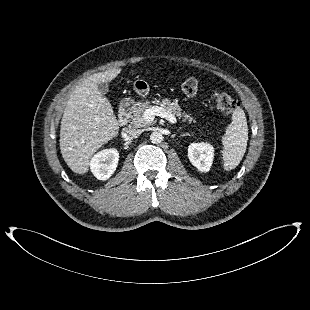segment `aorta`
Returning a JSON list of instances; mask_svg holds the SVG:
<instances>
[{
    "instance_id": "aorta-1",
    "label": "aorta",
    "mask_w": 310,
    "mask_h": 310,
    "mask_svg": "<svg viewBox=\"0 0 310 310\" xmlns=\"http://www.w3.org/2000/svg\"><path fill=\"white\" fill-rule=\"evenodd\" d=\"M150 140L153 144H159L163 141V136L161 133L159 132H153L151 135H150Z\"/></svg>"
}]
</instances>
